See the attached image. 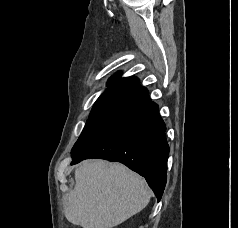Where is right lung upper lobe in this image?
<instances>
[{
    "mask_svg": "<svg viewBox=\"0 0 238 228\" xmlns=\"http://www.w3.org/2000/svg\"><path fill=\"white\" fill-rule=\"evenodd\" d=\"M116 73L108 80V88L95 102L91 114L122 116L151 102L148 90L139 85L136 77L121 78Z\"/></svg>",
    "mask_w": 238,
    "mask_h": 228,
    "instance_id": "cb5924a9",
    "label": "right lung upper lobe"
}]
</instances>
